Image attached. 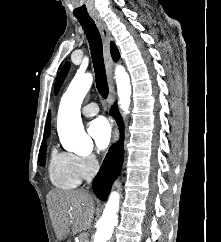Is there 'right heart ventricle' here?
<instances>
[{
  "instance_id": "e07e8e85",
  "label": "right heart ventricle",
  "mask_w": 221,
  "mask_h": 242,
  "mask_svg": "<svg viewBox=\"0 0 221 242\" xmlns=\"http://www.w3.org/2000/svg\"><path fill=\"white\" fill-rule=\"evenodd\" d=\"M48 174L51 183L60 189H71L80 183L74 155L53 149L50 155Z\"/></svg>"
}]
</instances>
